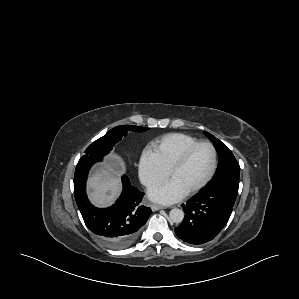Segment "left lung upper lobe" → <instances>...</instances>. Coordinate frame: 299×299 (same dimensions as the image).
Returning <instances> with one entry per match:
<instances>
[{
    "label": "left lung upper lobe",
    "mask_w": 299,
    "mask_h": 299,
    "mask_svg": "<svg viewBox=\"0 0 299 299\" xmlns=\"http://www.w3.org/2000/svg\"><path fill=\"white\" fill-rule=\"evenodd\" d=\"M205 133L214 140V147L219 155V164L214 177L202 190L223 188L238 193L240 166L237 160L231 150L220 140L208 132Z\"/></svg>",
    "instance_id": "left-lung-upper-lobe-1"
}]
</instances>
